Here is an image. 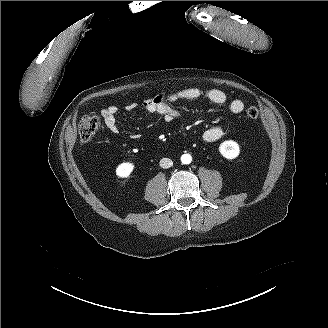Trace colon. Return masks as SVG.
Returning a JSON list of instances; mask_svg holds the SVG:
<instances>
[{"instance_id":"5ec220e1","label":"colon","mask_w":328,"mask_h":328,"mask_svg":"<svg viewBox=\"0 0 328 328\" xmlns=\"http://www.w3.org/2000/svg\"><path fill=\"white\" fill-rule=\"evenodd\" d=\"M246 115L250 119H257L259 110L251 106L247 109ZM100 127L99 119L94 115H84L79 122V136L82 143H88L96 134Z\"/></svg>"}]
</instances>
